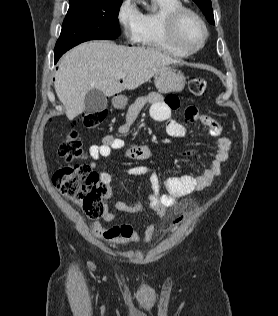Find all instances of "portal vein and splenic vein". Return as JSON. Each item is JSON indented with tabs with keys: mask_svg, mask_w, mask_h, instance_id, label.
<instances>
[{
	"mask_svg": "<svg viewBox=\"0 0 278 316\" xmlns=\"http://www.w3.org/2000/svg\"><path fill=\"white\" fill-rule=\"evenodd\" d=\"M126 74L125 73H119L118 78L123 79L125 78Z\"/></svg>",
	"mask_w": 278,
	"mask_h": 316,
	"instance_id": "portal-vein-and-splenic-vein-1",
	"label": "portal vein and splenic vein"
}]
</instances>
